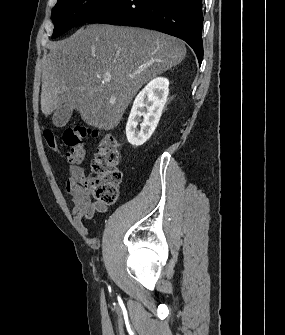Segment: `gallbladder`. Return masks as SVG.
<instances>
[{
    "label": "gallbladder",
    "mask_w": 285,
    "mask_h": 335,
    "mask_svg": "<svg viewBox=\"0 0 285 335\" xmlns=\"http://www.w3.org/2000/svg\"><path fill=\"white\" fill-rule=\"evenodd\" d=\"M73 108L70 104H63L60 106L59 110H56L53 114V124L57 128H63L69 122L72 116Z\"/></svg>",
    "instance_id": "gallbladder-1"
}]
</instances>
